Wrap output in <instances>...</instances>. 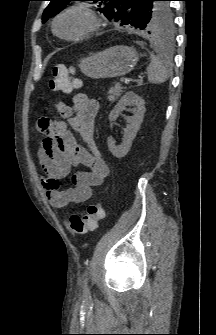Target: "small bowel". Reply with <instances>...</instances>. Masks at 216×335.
Here are the masks:
<instances>
[{
  "instance_id": "c3829d8e",
  "label": "small bowel",
  "mask_w": 216,
  "mask_h": 335,
  "mask_svg": "<svg viewBox=\"0 0 216 335\" xmlns=\"http://www.w3.org/2000/svg\"><path fill=\"white\" fill-rule=\"evenodd\" d=\"M54 115H62L65 121L40 118L37 122L43 140L38 147V158L44 172L42 185L55 208L88 201L95 187L103 184L109 168L103 160L94 137L95 117L99 111L97 100L86 94L74 95L72 104H64L61 98H53ZM75 131L84 145L77 143ZM73 167H84L72 175V187L62 189L60 181Z\"/></svg>"
}]
</instances>
